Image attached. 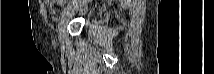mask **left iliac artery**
Wrapping results in <instances>:
<instances>
[{
    "label": "left iliac artery",
    "mask_w": 214,
    "mask_h": 74,
    "mask_svg": "<svg viewBox=\"0 0 214 74\" xmlns=\"http://www.w3.org/2000/svg\"><path fill=\"white\" fill-rule=\"evenodd\" d=\"M76 2H77L76 0H73L71 4H68V5L63 9V11L61 12V16H62L66 11H68L70 8H72V6H73Z\"/></svg>",
    "instance_id": "obj_1"
}]
</instances>
